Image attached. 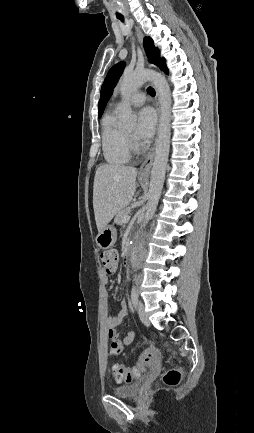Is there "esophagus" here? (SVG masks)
I'll return each mask as SVG.
<instances>
[{
    "label": "esophagus",
    "mask_w": 254,
    "mask_h": 433,
    "mask_svg": "<svg viewBox=\"0 0 254 433\" xmlns=\"http://www.w3.org/2000/svg\"><path fill=\"white\" fill-rule=\"evenodd\" d=\"M135 29H136L138 42L140 43V45H142L143 34L138 27H136ZM155 92H156L155 104H156L158 115L160 116V99H159V93H158L156 88H155ZM155 147H156V141L153 144V146L151 147V149L149 150L145 160L143 161V163L140 166V169H139V177L140 178H148V176H149L150 169H151L152 164H153Z\"/></svg>",
    "instance_id": "34e87169"
}]
</instances>
